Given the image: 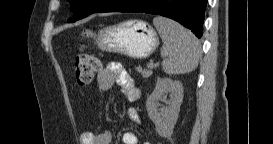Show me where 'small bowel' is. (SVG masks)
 <instances>
[{
	"label": "small bowel",
	"instance_id": "1",
	"mask_svg": "<svg viewBox=\"0 0 273 144\" xmlns=\"http://www.w3.org/2000/svg\"><path fill=\"white\" fill-rule=\"evenodd\" d=\"M115 84L119 85L125 98L134 102L139 99L140 91L135 86L132 77L119 64H109L102 69L98 76V86L101 90H110ZM132 122L138 123L139 117L134 109L128 112ZM82 144H109L111 142V134L107 131L93 133L90 131L83 132L80 136ZM123 144H138V137L134 132H125L122 136Z\"/></svg>",
	"mask_w": 273,
	"mask_h": 144
}]
</instances>
